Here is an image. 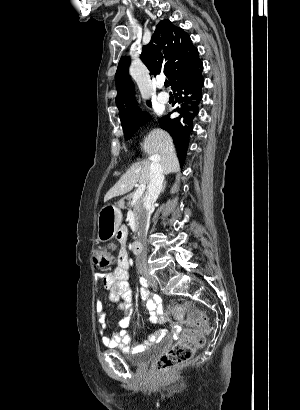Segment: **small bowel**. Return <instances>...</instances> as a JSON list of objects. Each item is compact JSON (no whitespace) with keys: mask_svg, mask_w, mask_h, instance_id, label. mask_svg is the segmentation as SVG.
Wrapping results in <instances>:
<instances>
[{"mask_svg":"<svg viewBox=\"0 0 300 410\" xmlns=\"http://www.w3.org/2000/svg\"><path fill=\"white\" fill-rule=\"evenodd\" d=\"M119 241L126 243V235L120 233ZM129 255L125 247H122L118 254L117 266L109 273L101 276L102 285L109 292V299L119 305L122 316L118 322L116 332L109 331L105 320V305L102 301L96 303V310L99 314V334L102 343L109 348H117L123 352L136 353L144 349L145 346L161 340L166 330L159 328L154 334L146 340L140 341L131 336L128 326L133 314V291L129 284ZM140 296L145 302L149 312V321L156 324L167 322V316L161 306V298L148 292L145 289L140 290Z\"/></svg>","mask_w":300,"mask_h":410,"instance_id":"obj_1","label":"small bowel"}]
</instances>
